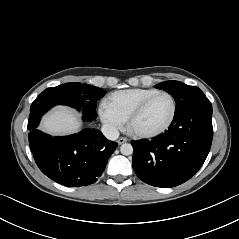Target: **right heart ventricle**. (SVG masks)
Here are the masks:
<instances>
[{"label": "right heart ventricle", "instance_id": "1", "mask_svg": "<svg viewBox=\"0 0 239 239\" xmlns=\"http://www.w3.org/2000/svg\"><path fill=\"white\" fill-rule=\"evenodd\" d=\"M156 91L158 90L153 88H132L114 91L106 97L104 105L125 121L131 111L143 99Z\"/></svg>", "mask_w": 239, "mask_h": 239}]
</instances>
